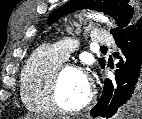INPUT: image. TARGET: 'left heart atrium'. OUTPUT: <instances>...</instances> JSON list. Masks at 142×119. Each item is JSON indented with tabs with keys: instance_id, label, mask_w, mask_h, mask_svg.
Returning <instances> with one entry per match:
<instances>
[{
	"instance_id": "obj_1",
	"label": "left heart atrium",
	"mask_w": 142,
	"mask_h": 119,
	"mask_svg": "<svg viewBox=\"0 0 142 119\" xmlns=\"http://www.w3.org/2000/svg\"><path fill=\"white\" fill-rule=\"evenodd\" d=\"M85 77H86V80H87V82H88V84H89V83H90V82H89V78H88L86 75H85Z\"/></svg>"
}]
</instances>
